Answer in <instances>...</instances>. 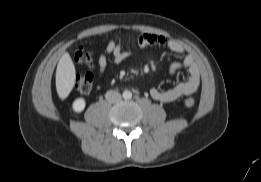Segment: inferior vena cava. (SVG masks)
Listing matches in <instances>:
<instances>
[{"label": "inferior vena cava", "instance_id": "602c4592", "mask_svg": "<svg viewBox=\"0 0 261 182\" xmlns=\"http://www.w3.org/2000/svg\"><path fill=\"white\" fill-rule=\"evenodd\" d=\"M105 98L110 103H116L121 100V95L116 91L110 90L106 92Z\"/></svg>", "mask_w": 261, "mask_h": 182}]
</instances>
